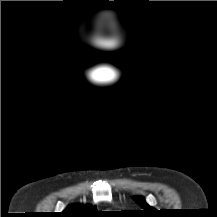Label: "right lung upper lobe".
<instances>
[{"mask_svg": "<svg viewBox=\"0 0 217 217\" xmlns=\"http://www.w3.org/2000/svg\"><path fill=\"white\" fill-rule=\"evenodd\" d=\"M96 214V208L93 206L70 205L58 216L60 217H92Z\"/></svg>", "mask_w": 217, "mask_h": 217, "instance_id": "obj_1", "label": "right lung upper lobe"}]
</instances>
